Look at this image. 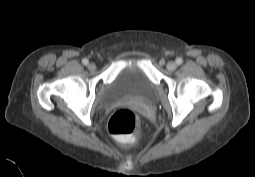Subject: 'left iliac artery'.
I'll return each instance as SVG.
<instances>
[{
	"label": "left iliac artery",
	"mask_w": 255,
	"mask_h": 177,
	"mask_svg": "<svg viewBox=\"0 0 255 177\" xmlns=\"http://www.w3.org/2000/svg\"><path fill=\"white\" fill-rule=\"evenodd\" d=\"M176 63H177L178 65H181V64L183 63V59H182V58H177V59H176Z\"/></svg>",
	"instance_id": "44dca946"
}]
</instances>
